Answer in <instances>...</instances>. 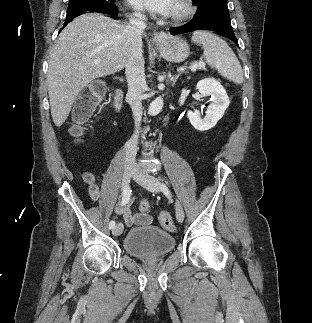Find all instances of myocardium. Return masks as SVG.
Here are the masks:
<instances>
[{"label":"myocardium","mask_w":312,"mask_h":323,"mask_svg":"<svg viewBox=\"0 0 312 323\" xmlns=\"http://www.w3.org/2000/svg\"><path fill=\"white\" fill-rule=\"evenodd\" d=\"M194 0H173L170 4L171 12L173 13V21H192L195 10H197V3Z\"/></svg>","instance_id":"myocardium-1"}]
</instances>
